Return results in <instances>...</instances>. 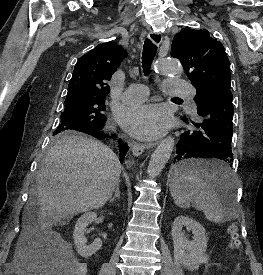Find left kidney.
Masks as SVG:
<instances>
[{
	"label": "left kidney",
	"mask_w": 263,
	"mask_h": 275,
	"mask_svg": "<svg viewBox=\"0 0 263 275\" xmlns=\"http://www.w3.org/2000/svg\"><path fill=\"white\" fill-rule=\"evenodd\" d=\"M183 227L192 231V241L182 232ZM171 235L176 262L191 271L198 270L201 264L208 262L205 255L208 238L205 229L199 222L187 216H178L173 222Z\"/></svg>",
	"instance_id": "1"
}]
</instances>
